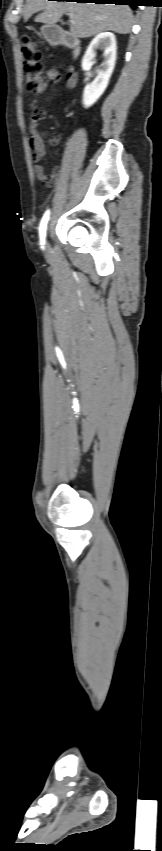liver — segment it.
<instances>
[{
	"label": "liver",
	"mask_w": 162,
	"mask_h": 851,
	"mask_svg": "<svg viewBox=\"0 0 162 851\" xmlns=\"http://www.w3.org/2000/svg\"><path fill=\"white\" fill-rule=\"evenodd\" d=\"M43 11L36 22L53 25L64 13L72 14L68 25L73 35L87 38L104 31L127 34L132 27V12L127 5L96 4L48 0H27L24 19Z\"/></svg>",
	"instance_id": "6515ba94"
}]
</instances>
